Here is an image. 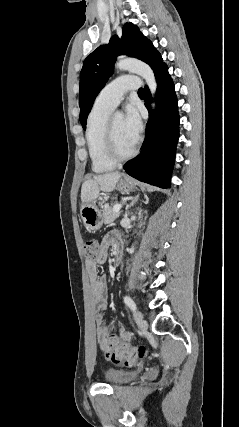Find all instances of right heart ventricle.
Segmentation results:
<instances>
[{"label":"right heart ventricle","mask_w":239,"mask_h":427,"mask_svg":"<svg viewBox=\"0 0 239 427\" xmlns=\"http://www.w3.org/2000/svg\"><path fill=\"white\" fill-rule=\"evenodd\" d=\"M110 113L111 109L94 105L87 119L85 136L88 152L92 169L98 173L109 171L115 166L104 149L105 127Z\"/></svg>","instance_id":"1"}]
</instances>
